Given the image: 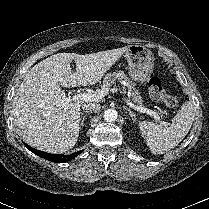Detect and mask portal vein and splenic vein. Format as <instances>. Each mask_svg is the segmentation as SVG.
<instances>
[{"label":"portal vein and splenic vein","instance_id":"1","mask_svg":"<svg viewBox=\"0 0 209 209\" xmlns=\"http://www.w3.org/2000/svg\"><path fill=\"white\" fill-rule=\"evenodd\" d=\"M114 91H116L115 89H113ZM107 93H105L104 91H99V92H95V93H81V94H77L75 96L72 97V100L74 101H85V102H91V101H98L100 99H102ZM127 102V105H129L131 108L140 111L141 113H146L150 116H152L155 120H157L158 122H160L161 124L167 126L168 123L164 122V121H160V116L152 111L149 110L147 108H144L142 106H138L133 104L132 102Z\"/></svg>","mask_w":209,"mask_h":209}]
</instances>
